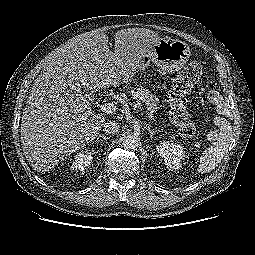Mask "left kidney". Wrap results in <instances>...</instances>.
Masks as SVG:
<instances>
[{
  "instance_id": "left-kidney-1",
  "label": "left kidney",
  "mask_w": 255,
  "mask_h": 255,
  "mask_svg": "<svg viewBox=\"0 0 255 255\" xmlns=\"http://www.w3.org/2000/svg\"><path fill=\"white\" fill-rule=\"evenodd\" d=\"M156 150L168 168L177 170L181 167L185 151L180 144L164 141L156 146Z\"/></svg>"
}]
</instances>
